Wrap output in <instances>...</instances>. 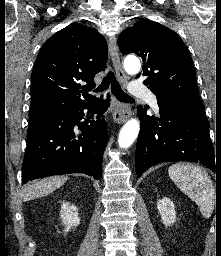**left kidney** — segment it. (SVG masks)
<instances>
[{"label":"left kidney","instance_id":"obj_1","mask_svg":"<svg viewBox=\"0 0 221 256\" xmlns=\"http://www.w3.org/2000/svg\"><path fill=\"white\" fill-rule=\"evenodd\" d=\"M157 208L164 225L170 226L176 221L175 206L169 198L164 197L159 200L157 203Z\"/></svg>","mask_w":221,"mask_h":256}]
</instances>
